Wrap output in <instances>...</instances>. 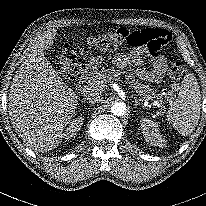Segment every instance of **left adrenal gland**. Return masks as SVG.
<instances>
[{
    "instance_id": "obj_1",
    "label": "left adrenal gland",
    "mask_w": 206,
    "mask_h": 206,
    "mask_svg": "<svg viewBox=\"0 0 206 206\" xmlns=\"http://www.w3.org/2000/svg\"><path fill=\"white\" fill-rule=\"evenodd\" d=\"M134 100H135V103H134L135 108H137V106L140 105V103L138 102V100L135 97H134Z\"/></svg>"
}]
</instances>
